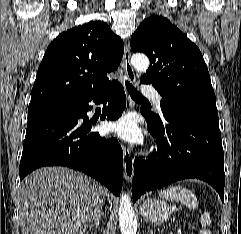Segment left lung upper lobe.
<instances>
[{
  "label": "left lung upper lobe",
  "instance_id": "obj_1",
  "mask_svg": "<svg viewBox=\"0 0 241 234\" xmlns=\"http://www.w3.org/2000/svg\"><path fill=\"white\" fill-rule=\"evenodd\" d=\"M131 50L143 52L150 66L140 80L162 96L161 109L172 106L218 117L210 75L198 47L167 18L152 15L132 35ZM149 116L159 115L145 110Z\"/></svg>",
  "mask_w": 241,
  "mask_h": 234
}]
</instances>
